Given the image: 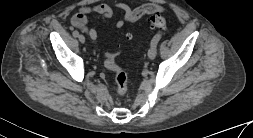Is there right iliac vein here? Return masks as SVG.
<instances>
[{"label":"right iliac vein","instance_id":"right-iliac-vein-1","mask_svg":"<svg viewBox=\"0 0 253 138\" xmlns=\"http://www.w3.org/2000/svg\"><path fill=\"white\" fill-rule=\"evenodd\" d=\"M79 41L83 44L85 43V37L83 35H79Z\"/></svg>","mask_w":253,"mask_h":138}]
</instances>
